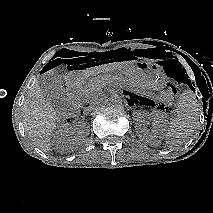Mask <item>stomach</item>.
I'll return each mask as SVG.
<instances>
[{"instance_id": "0dacf381", "label": "stomach", "mask_w": 213, "mask_h": 213, "mask_svg": "<svg viewBox=\"0 0 213 213\" xmlns=\"http://www.w3.org/2000/svg\"><path fill=\"white\" fill-rule=\"evenodd\" d=\"M119 73L149 93L161 91L167 84L162 66L154 61H138L126 65Z\"/></svg>"}]
</instances>
